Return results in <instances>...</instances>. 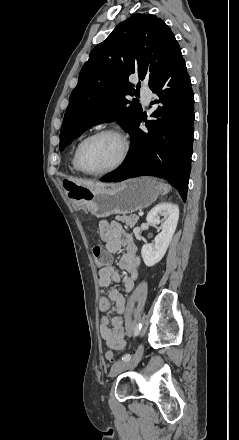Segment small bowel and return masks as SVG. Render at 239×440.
<instances>
[{"label": "small bowel", "mask_w": 239, "mask_h": 440, "mask_svg": "<svg viewBox=\"0 0 239 440\" xmlns=\"http://www.w3.org/2000/svg\"><path fill=\"white\" fill-rule=\"evenodd\" d=\"M101 239L105 242L104 251L108 262L98 272V285L101 289L108 288L112 282L121 283L126 292H131L135 286L139 274L140 257L133 237L124 230L117 222L101 221L99 224ZM125 247L126 253L119 260V268L126 275L120 276L116 268L111 264L112 256ZM111 302L115 304L116 314L109 318L106 312ZM102 312L100 318V334L107 346L112 350H121L125 347L123 314L126 309L124 293L113 289L108 296L101 297L98 303Z\"/></svg>", "instance_id": "c3829d8e"}]
</instances>
